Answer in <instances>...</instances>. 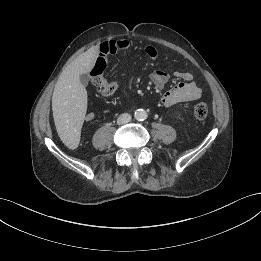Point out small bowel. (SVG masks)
<instances>
[{
	"instance_id": "1",
	"label": "small bowel",
	"mask_w": 261,
	"mask_h": 261,
	"mask_svg": "<svg viewBox=\"0 0 261 261\" xmlns=\"http://www.w3.org/2000/svg\"><path fill=\"white\" fill-rule=\"evenodd\" d=\"M129 49L130 42L127 39H111L104 41L99 46V53L95 66L102 65L105 68L106 60L109 56L127 51ZM143 51L144 54L152 60L158 58V51L152 45H146ZM172 75L177 77L179 82L173 85L162 95L161 103L164 107L169 108L179 103L191 102L201 96L200 87L193 81L192 75L188 72H172L169 68L158 69L152 73L151 80L157 88L163 89L171 80ZM108 84L112 87V93L118 89V83L116 81H110ZM94 118L95 115L92 112L85 115V120L87 122L93 121Z\"/></svg>"
}]
</instances>
